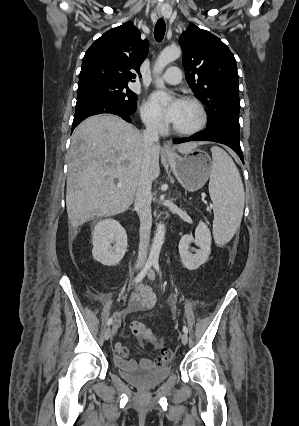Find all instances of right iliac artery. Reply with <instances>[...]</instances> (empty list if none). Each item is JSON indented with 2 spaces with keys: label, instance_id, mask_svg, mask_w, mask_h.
<instances>
[{
  "label": "right iliac artery",
  "instance_id": "obj_1",
  "mask_svg": "<svg viewBox=\"0 0 299 426\" xmlns=\"http://www.w3.org/2000/svg\"><path fill=\"white\" fill-rule=\"evenodd\" d=\"M153 262L152 261H147L144 268L141 270V272L136 276L135 278V284H138L140 281H142V279L146 276L148 270L151 268ZM113 322V318L110 317L107 321V325H111Z\"/></svg>",
  "mask_w": 299,
  "mask_h": 426
}]
</instances>
